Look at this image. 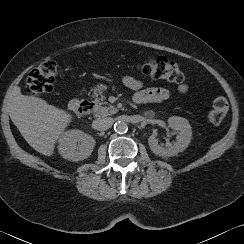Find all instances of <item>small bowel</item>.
<instances>
[{
	"mask_svg": "<svg viewBox=\"0 0 244 244\" xmlns=\"http://www.w3.org/2000/svg\"><path fill=\"white\" fill-rule=\"evenodd\" d=\"M122 83L129 89L135 92L134 102L136 104H144L149 102H160L170 97V91L163 87H150L145 88L141 80H138L131 76H125L122 79ZM189 86L186 83H182L178 86V92L186 94Z\"/></svg>",
	"mask_w": 244,
	"mask_h": 244,
	"instance_id": "small-bowel-1",
	"label": "small bowel"
}]
</instances>
